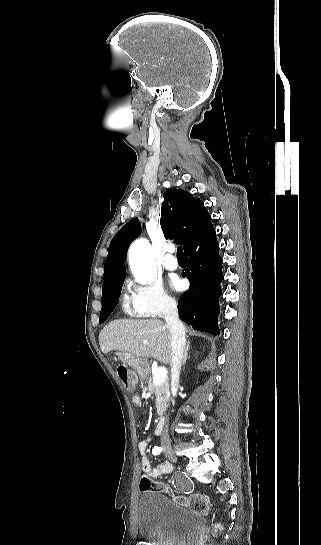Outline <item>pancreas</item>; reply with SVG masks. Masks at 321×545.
<instances>
[{
    "instance_id": "obj_1",
    "label": "pancreas",
    "mask_w": 321,
    "mask_h": 545,
    "mask_svg": "<svg viewBox=\"0 0 321 545\" xmlns=\"http://www.w3.org/2000/svg\"><path fill=\"white\" fill-rule=\"evenodd\" d=\"M143 377L149 387L150 393H155L157 413L162 417L170 395L168 379H165L161 385H154L151 379V369H148Z\"/></svg>"
}]
</instances>
